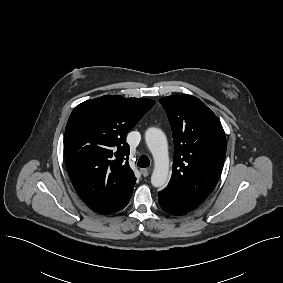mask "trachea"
I'll list each match as a JSON object with an SVG mask.
<instances>
[{"label": "trachea", "instance_id": "1", "mask_svg": "<svg viewBox=\"0 0 283 283\" xmlns=\"http://www.w3.org/2000/svg\"><path fill=\"white\" fill-rule=\"evenodd\" d=\"M137 165L142 168L148 167L150 165V160L146 155H142L139 158Z\"/></svg>", "mask_w": 283, "mask_h": 283}]
</instances>
